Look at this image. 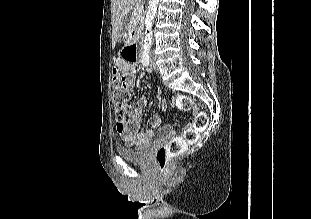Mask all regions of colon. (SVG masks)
I'll use <instances>...</instances> for the list:
<instances>
[{
    "mask_svg": "<svg viewBox=\"0 0 311 219\" xmlns=\"http://www.w3.org/2000/svg\"><path fill=\"white\" fill-rule=\"evenodd\" d=\"M125 57L130 61H135L136 53L134 50L129 49L125 52ZM113 84L114 114L118 121H122L126 116L128 99L125 91V76L120 75L116 69H114ZM174 104L182 111L194 110L195 115L193 123L184 130L182 137H174L168 144L157 151L156 162L159 170L162 172L169 169L171 161L183 154L189 144H195L199 140L201 133L206 129L208 123V118L205 112L195 108L190 97L186 95H178Z\"/></svg>",
    "mask_w": 311,
    "mask_h": 219,
    "instance_id": "5ec220e1",
    "label": "colon"
}]
</instances>
